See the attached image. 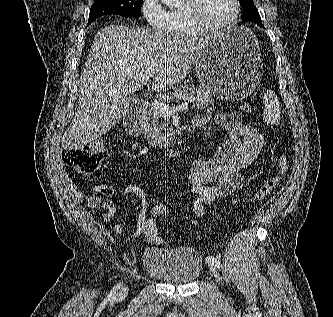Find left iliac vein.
I'll return each mask as SVG.
<instances>
[{"mask_svg":"<svg viewBox=\"0 0 333 317\" xmlns=\"http://www.w3.org/2000/svg\"><path fill=\"white\" fill-rule=\"evenodd\" d=\"M209 268H210L211 272L214 274L216 281L220 283L221 276L219 274V270H218L217 266L215 264H209Z\"/></svg>","mask_w":333,"mask_h":317,"instance_id":"obj_1","label":"left iliac vein"}]
</instances>
